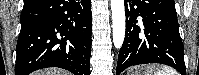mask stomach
<instances>
[{
  "mask_svg": "<svg viewBox=\"0 0 199 75\" xmlns=\"http://www.w3.org/2000/svg\"><path fill=\"white\" fill-rule=\"evenodd\" d=\"M147 69L146 66L134 68L128 71V75H142V73ZM144 70V71H143Z\"/></svg>",
  "mask_w": 199,
  "mask_h": 75,
  "instance_id": "1",
  "label": "stomach"
}]
</instances>
